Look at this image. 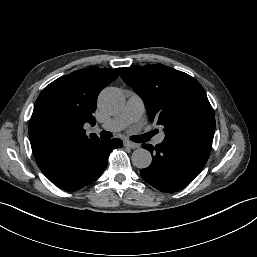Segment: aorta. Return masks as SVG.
<instances>
[{
    "mask_svg": "<svg viewBox=\"0 0 257 257\" xmlns=\"http://www.w3.org/2000/svg\"><path fill=\"white\" fill-rule=\"evenodd\" d=\"M125 99L122 92L116 88L110 87L104 89L99 96L100 107L108 113H116L122 110ZM152 156L146 149L139 148L132 153V163L139 169L150 166Z\"/></svg>",
    "mask_w": 257,
    "mask_h": 257,
    "instance_id": "762f6f07",
    "label": "aorta"
}]
</instances>
